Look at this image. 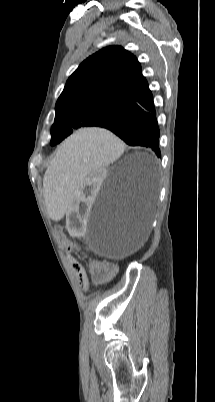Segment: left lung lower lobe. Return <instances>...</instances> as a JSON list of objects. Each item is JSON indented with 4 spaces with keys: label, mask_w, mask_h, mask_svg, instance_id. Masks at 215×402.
Listing matches in <instances>:
<instances>
[{
    "label": "left lung lower lobe",
    "mask_w": 215,
    "mask_h": 402,
    "mask_svg": "<svg viewBox=\"0 0 215 402\" xmlns=\"http://www.w3.org/2000/svg\"><path fill=\"white\" fill-rule=\"evenodd\" d=\"M96 126L112 131L130 146H144L161 156L160 132L148 83L133 99Z\"/></svg>",
    "instance_id": "1"
}]
</instances>
